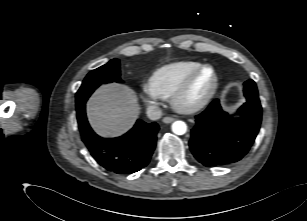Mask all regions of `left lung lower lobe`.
<instances>
[{
    "label": "left lung lower lobe",
    "instance_id": "1",
    "mask_svg": "<svg viewBox=\"0 0 307 221\" xmlns=\"http://www.w3.org/2000/svg\"><path fill=\"white\" fill-rule=\"evenodd\" d=\"M247 102L236 113L222 111L218 100L196 116L189 141L194 157L206 167L241 160L252 146L260 128L262 108L258 92L244 91Z\"/></svg>",
    "mask_w": 307,
    "mask_h": 221
}]
</instances>
